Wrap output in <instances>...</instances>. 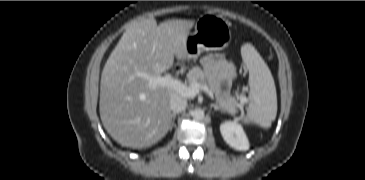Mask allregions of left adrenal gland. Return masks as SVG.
Segmentation results:
<instances>
[{"label": "left adrenal gland", "mask_w": 365, "mask_h": 180, "mask_svg": "<svg viewBox=\"0 0 365 180\" xmlns=\"http://www.w3.org/2000/svg\"><path fill=\"white\" fill-rule=\"evenodd\" d=\"M214 110L215 111H221V112H224L221 108H219L217 105H214Z\"/></svg>", "instance_id": "obj_1"}]
</instances>
